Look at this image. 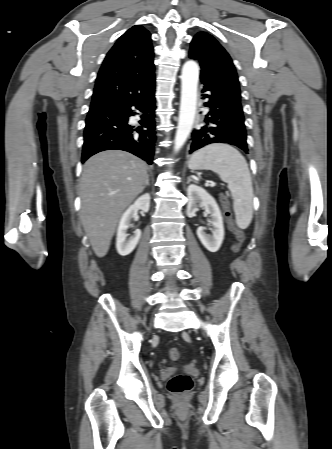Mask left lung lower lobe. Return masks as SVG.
Returning a JSON list of instances; mask_svg holds the SVG:
<instances>
[{"label": "left lung lower lobe", "mask_w": 332, "mask_h": 449, "mask_svg": "<svg viewBox=\"0 0 332 449\" xmlns=\"http://www.w3.org/2000/svg\"><path fill=\"white\" fill-rule=\"evenodd\" d=\"M204 103L210 111L205 117L204 125L191 133L189 153L212 143H227L248 153L247 134L243 110L240 102L225 96L211 86L203 84Z\"/></svg>", "instance_id": "0a47b994"}]
</instances>
